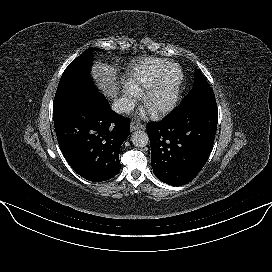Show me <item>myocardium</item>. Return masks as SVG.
I'll list each match as a JSON object with an SVG mask.
<instances>
[{
    "mask_svg": "<svg viewBox=\"0 0 272 272\" xmlns=\"http://www.w3.org/2000/svg\"><path fill=\"white\" fill-rule=\"evenodd\" d=\"M173 69L177 70V78L173 84L172 94H171L170 99L162 105L153 106L151 104V100H152L154 94L164 84L167 76L169 75V73ZM183 80H184V74H183L181 67L176 63H170L162 71V73L159 75V77L148 88L145 89V91L142 95L143 104L153 115L160 116V115H164L166 113H169L178 104V101L180 99L182 85H183Z\"/></svg>",
    "mask_w": 272,
    "mask_h": 272,
    "instance_id": "myocardium-1",
    "label": "myocardium"
}]
</instances>
